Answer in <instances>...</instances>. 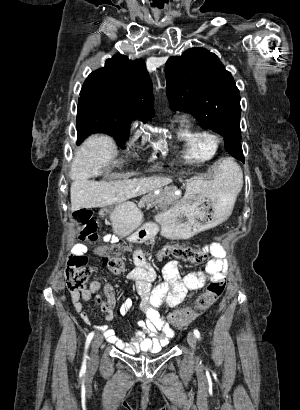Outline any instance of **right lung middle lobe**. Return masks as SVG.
I'll list each match as a JSON object with an SVG mask.
<instances>
[{"instance_id":"dd1d6c3e","label":"right lung middle lobe","mask_w":300,"mask_h":410,"mask_svg":"<svg viewBox=\"0 0 300 410\" xmlns=\"http://www.w3.org/2000/svg\"><path fill=\"white\" fill-rule=\"evenodd\" d=\"M80 96L77 110L78 140L100 132L113 136L118 145H122L128 138L131 122L108 115L100 95L81 90Z\"/></svg>"}]
</instances>
